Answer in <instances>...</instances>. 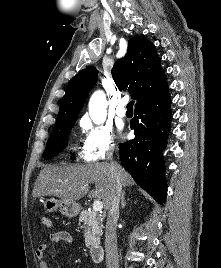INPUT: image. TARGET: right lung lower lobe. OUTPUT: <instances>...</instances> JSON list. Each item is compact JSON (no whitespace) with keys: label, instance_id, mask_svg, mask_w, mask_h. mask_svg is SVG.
Here are the masks:
<instances>
[{"label":"right lung lower lobe","instance_id":"obj_1","mask_svg":"<svg viewBox=\"0 0 221 268\" xmlns=\"http://www.w3.org/2000/svg\"><path fill=\"white\" fill-rule=\"evenodd\" d=\"M170 105L167 90L151 101L136 106L135 117L130 123L135 138L119 145L124 168L138 185L161 204L167 194L162 151L170 132Z\"/></svg>","mask_w":221,"mask_h":268}]
</instances>
